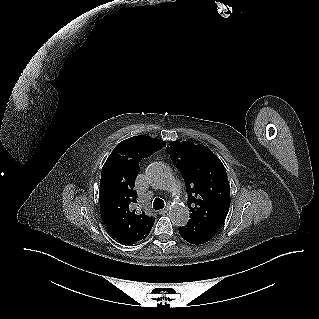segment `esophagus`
<instances>
[{
	"label": "esophagus",
	"mask_w": 319,
	"mask_h": 319,
	"mask_svg": "<svg viewBox=\"0 0 319 319\" xmlns=\"http://www.w3.org/2000/svg\"><path fill=\"white\" fill-rule=\"evenodd\" d=\"M167 212H168V208L162 209V210H159V211H158V213H159L160 215H164V214H166Z\"/></svg>",
	"instance_id": "obj_1"
}]
</instances>
